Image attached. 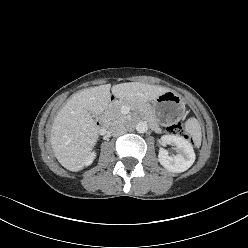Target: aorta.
Listing matches in <instances>:
<instances>
[{
  "mask_svg": "<svg viewBox=\"0 0 248 248\" xmlns=\"http://www.w3.org/2000/svg\"><path fill=\"white\" fill-rule=\"evenodd\" d=\"M147 130H148V125L146 122L141 121L136 124V131L138 133H145L147 132Z\"/></svg>",
  "mask_w": 248,
  "mask_h": 248,
  "instance_id": "aorta-1",
  "label": "aorta"
}]
</instances>
